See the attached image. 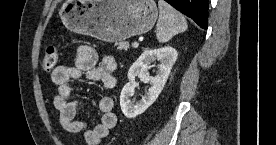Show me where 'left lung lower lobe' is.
I'll list each match as a JSON object with an SVG mask.
<instances>
[{
	"label": "left lung lower lobe",
	"mask_w": 276,
	"mask_h": 145,
	"mask_svg": "<svg viewBox=\"0 0 276 145\" xmlns=\"http://www.w3.org/2000/svg\"><path fill=\"white\" fill-rule=\"evenodd\" d=\"M178 11L192 18L201 28L207 29L208 0H165Z\"/></svg>",
	"instance_id": "1"
}]
</instances>
